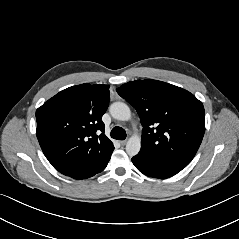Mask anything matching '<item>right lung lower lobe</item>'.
<instances>
[{
  "instance_id": "right-lung-lower-lobe-1",
  "label": "right lung lower lobe",
  "mask_w": 239,
  "mask_h": 239,
  "mask_svg": "<svg viewBox=\"0 0 239 239\" xmlns=\"http://www.w3.org/2000/svg\"><path fill=\"white\" fill-rule=\"evenodd\" d=\"M109 160H110V159H109ZM109 160H108V161H109ZM108 161H107L100 169L95 170L94 172H92V173H90V174H88V175H86V176H84V177L78 178V179H86V178H89V177L94 176L96 173H99V172L103 171V170L106 168V166H107V164H108Z\"/></svg>"
}]
</instances>
